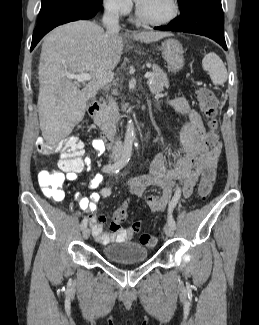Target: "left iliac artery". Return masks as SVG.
I'll list each match as a JSON object with an SVG mask.
<instances>
[{"label":"left iliac artery","mask_w":259,"mask_h":325,"mask_svg":"<svg viewBox=\"0 0 259 325\" xmlns=\"http://www.w3.org/2000/svg\"><path fill=\"white\" fill-rule=\"evenodd\" d=\"M136 147H137V144H136ZM180 198V191L179 189L176 191L170 205H169V208H168V223L175 229L176 228V224H175V221L173 219V216H172V212H173V209L174 207L176 206L178 200Z\"/></svg>","instance_id":"1"}]
</instances>
